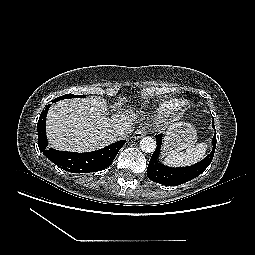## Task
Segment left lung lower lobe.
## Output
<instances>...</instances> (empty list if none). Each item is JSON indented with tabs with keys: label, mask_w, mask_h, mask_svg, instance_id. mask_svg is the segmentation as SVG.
<instances>
[{
	"label": "left lung lower lobe",
	"mask_w": 255,
	"mask_h": 255,
	"mask_svg": "<svg viewBox=\"0 0 255 255\" xmlns=\"http://www.w3.org/2000/svg\"><path fill=\"white\" fill-rule=\"evenodd\" d=\"M212 127L214 128V120ZM162 137V134L156 135L157 147L151 156L147 168V176L150 180L166 186H176L196 178L210 165L216 147V133L213 137L211 153L197 164L182 168H171L159 162Z\"/></svg>",
	"instance_id": "obj_1"
}]
</instances>
